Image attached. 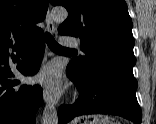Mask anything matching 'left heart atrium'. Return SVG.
Returning a JSON list of instances; mask_svg holds the SVG:
<instances>
[{"mask_svg":"<svg viewBox=\"0 0 156 124\" xmlns=\"http://www.w3.org/2000/svg\"><path fill=\"white\" fill-rule=\"evenodd\" d=\"M36 79L44 84L52 93H60L64 90V81L57 64L50 63L44 66Z\"/></svg>","mask_w":156,"mask_h":124,"instance_id":"39dd6f15","label":"left heart atrium"}]
</instances>
